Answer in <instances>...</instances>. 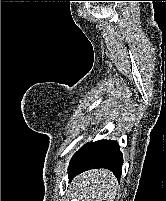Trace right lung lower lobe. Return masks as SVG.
Instances as JSON below:
<instances>
[{
	"label": "right lung lower lobe",
	"mask_w": 166,
	"mask_h": 201,
	"mask_svg": "<svg viewBox=\"0 0 166 201\" xmlns=\"http://www.w3.org/2000/svg\"><path fill=\"white\" fill-rule=\"evenodd\" d=\"M123 156L116 141L100 140L85 144L72 157L68 173L69 179L83 171L95 168L110 169L119 179L121 176Z\"/></svg>",
	"instance_id": "right-lung-lower-lobe-1"
}]
</instances>
